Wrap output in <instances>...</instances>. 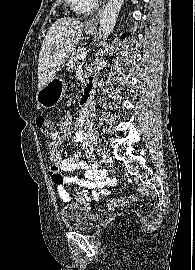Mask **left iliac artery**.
Listing matches in <instances>:
<instances>
[{
  "label": "left iliac artery",
  "mask_w": 195,
  "mask_h": 270,
  "mask_svg": "<svg viewBox=\"0 0 195 270\" xmlns=\"http://www.w3.org/2000/svg\"><path fill=\"white\" fill-rule=\"evenodd\" d=\"M98 153H99L100 155H102V154H103V150H102L101 148H99V149H98Z\"/></svg>",
  "instance_id": "1"
}]
</instances>
